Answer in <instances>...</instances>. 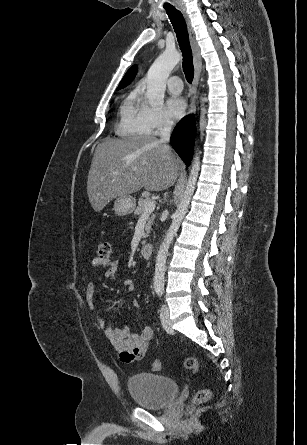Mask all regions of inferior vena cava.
I'll use <instances>...</instances> for the list:
<instances>
[{"mask_svg": "<svg viewBox=\"0 0 307 445\" xmlns=\"http://www.w3.org/2000/svg\"><path fill=\"white\" fill-rule=\"evenodd\" d=\"M172 124L173 120H170V118H164L163 124H161V126L158 128V130H160L159 142H169Z\"/></svg>", "mask_w": 307, "mask_h": 445, "instance_id": "inferior-vena-cava-1", "label": "inferior vena cava"}]
</instances>
